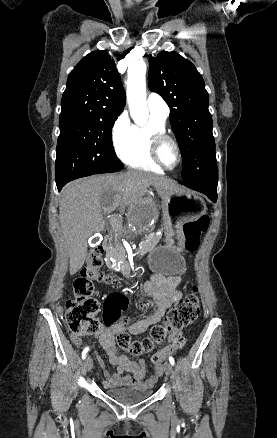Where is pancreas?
Returning <instances> with one entry per match:
<instances>
[{
    "label": "pancreas",
    "mask_w": 277,
    "mask_h": 438,
    "mask_svg": "<svg viewBox=\"0 0 277 438\" xmlns=\"http://www.w3.org/2000/svg\"><path fill=\"white\" fill-rule=\"evenodd\" d=\"M135 233L122 231H108L107 233V267L109 270H118L119 267L130 266V252L125 251L126 247L122 244L127 239L135 238ZM141 238L140 244H135L133 250L135 253H150L151 248L159 244L161 233L159 231H144L139 233Z\"/></svg>",
    "instance_id": "obj_1"
}]
</instances>
